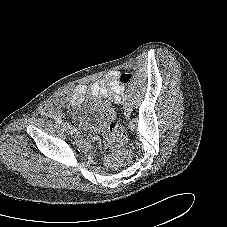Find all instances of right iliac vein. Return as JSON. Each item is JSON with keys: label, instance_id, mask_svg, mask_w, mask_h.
Here are the masks:
<instances>
[{"label": "right iliac vein", "instance_id": "1", "mask_svg": "<svg viewBox=\"0 0 227 227\" xmlns=\"http://www.w3.org/2000/svg\"><path fill=\"white\" fill-rule=\"evenodd\" d=\"M62 125L68 134H73V129L68 123H62Z\"/></svg>", "mask_w": 227, "mask_h": 227}]
</instances>
